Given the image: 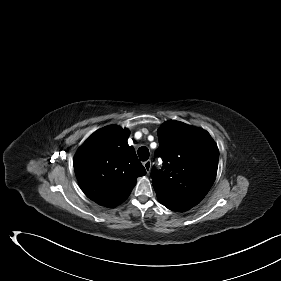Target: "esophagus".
Segmentation results:
<instances>
[{"label":"esophagus","mask_w":281,"mask_h":281,"mask_svg":"<svg viewBox=\"0 0 281 281\" xmlns=\"http://www.w3.org/2000/svg\"><path fill=\"white\" fill-rule=\"evenodd\" d=\"M143 166L146 170L147 173H149L150 169H151V161L150 160H147L143 163Z\"/></svg>","instance_id":"34e87169"}]
</instances>
